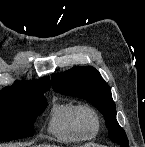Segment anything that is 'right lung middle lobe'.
<instances>
[{
  "label": "right lung middle lobe",
  "instance_id": "dd1d6c3e",
  "mask_svg": "<svg viewBox=\"0 0 145 147\" xmlns=\"http://www.w3.org/2000/svg\"><path fill=\"white\" fill-rule=\"evenodd\" d=\"M29 89L0 95V141L33 136L36 117L46 107L44 92Z\"/></svg>",
  "mask_w": 145,
  "mask_h": 147
}]
</instances>
